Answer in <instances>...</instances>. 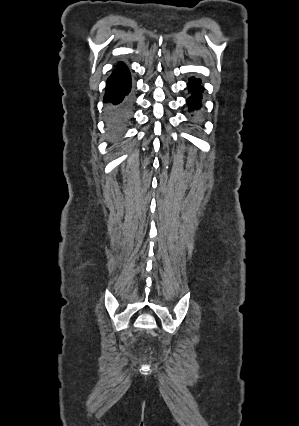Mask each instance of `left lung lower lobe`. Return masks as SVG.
Segmentation results:
<instances>
[{
	"label": "left lung lower lobe",
	"mask_w": 299,
	"mask_h": 426,
	"mask_svg": "<svg viewBox=\"0 0 299 426\" xmlns=\"http://www.w3.org/2000/svg\"><path fill=\"white\" fill-rule=\"evenodd\" d=\"M188 88L192 92V95L187 99L190 111L198 110L201 107V93L204 91L201 86V80L191 77L188 82Z\"/></svg>",
	"instance_id": "obj_1"
}]
</instances>
